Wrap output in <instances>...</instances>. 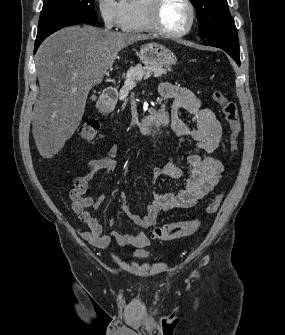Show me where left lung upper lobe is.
<instances>
[{
  "label": "left lung upper lobe",
  "mask_w": 285,
  "mask_h": 335,
  "mask_svg": "<svg viewBox=\"0 0 285 335\" xmlns=\"http://www.w3.org/2000/svg\"><path fill=\"white\" fill-rule=\"evenodd\" d=\"M197 8L199 31L205 33L235 30L227 0H190Z\"/></svg>",
  "instance_id": "left-lung-upper-lobe-1"
}]
</instances>
